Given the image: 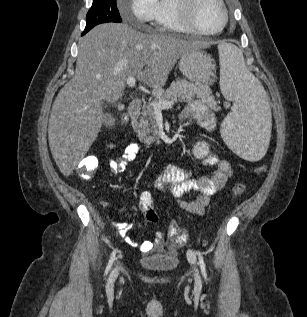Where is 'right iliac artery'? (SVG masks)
<instances>
[{"mask_svg":"<svg viewBox=\"0 0 307 317\" xmlns=\"http://www.w3.org/2000/svg\"><path fill=\"white\" fill-rule=\"evenodd\" d=\"M116 249L113 251V253L111 254V257H110V260H109V262H108V264H107V267H106V270H105V275H107L108 274V272H109V270H110V268H111V266H112V264H113V262H114V260H115V255H116Z\"/></svg>","mask_w":307,"mask_h":317,"instance_id":"82829eb1","label":"right iliac artery"}]
</instances>
